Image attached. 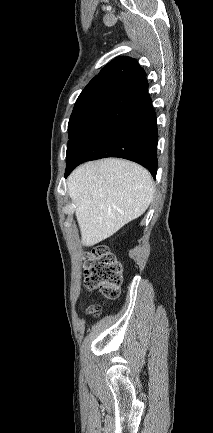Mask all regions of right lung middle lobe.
Segmentation results:
<instances>
[{
	"instance_id": "right-lung-middle-lobe-1",
	"label": "right lung middle lobe",
	"mask_w": 213,
	"mask_h": 433,
	"mask_svg": "<svg viewBox=\"0 0 213 433\" xmlns=\"http://www.w3.org/2000/svg\"><path fill=\"white\" fill-rule=\"evenodd\" d=\"M117 95L118 94L107 93L76 101L68 124L69 141L67 151L83 133L88 123L115 99Z\"/></svg>"
}]
</instances>
